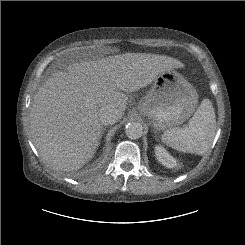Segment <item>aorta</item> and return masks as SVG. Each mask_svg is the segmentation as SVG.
Returning <instances> with one entry per match:
<instances>
[{
	"instance_id": "762f6f07",
	"label": "aorta",
	"mask_w": 245,
	"mask_h": 245,
	"mask_svg": "<svg viewBox=\"0 0 245 245\" xmlns=\"http://www.w3.org/2000/svg\"><path fill=\"white\" fill-rule=\"evenodd\" d=\"M125 134L130 139H138L143 135V126L138 122H129L125 127Z\"/></svg>"
}]
</instances>
